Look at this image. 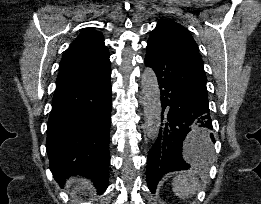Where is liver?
Instances as JSON below:
<instances>
[{"label":"liver","mask_w":261,"mask_h":204,"mask_svg":"<svg viewBox=\"0 0 261 204\" xmlns=\"http://www.w3.org/2000/svg\"><path fill=\"white\" fill-rule=\"evenodd\" d=\"M73 182H75L74 189L78 191L87 189L91 185V182L85 178L75 177L69 181L70 184Z\"/></svg>","instance_id":"obj_1"}]
</instances>
